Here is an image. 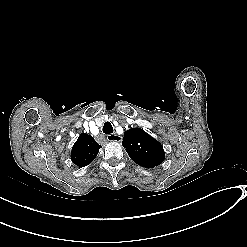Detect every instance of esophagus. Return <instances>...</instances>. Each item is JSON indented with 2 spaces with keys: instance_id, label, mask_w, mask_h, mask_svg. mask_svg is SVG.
<instances>
[{
  "instance_id": "34e87169",
  "label": "esophagus",
  "mask_w": 247,
  "mask_h": 247,
  "mask_svg": "<svg viewBox=\"0 0 247 247\" xmlns=\"http://www.w3.org/2000/svg\"><path fill=\"white\" fill-rule=\"evenodd\" d=\"M107 140L112 142H120L122 141V137L118 134H109L107 135Z\"/></svg>"
}]
</instances>
